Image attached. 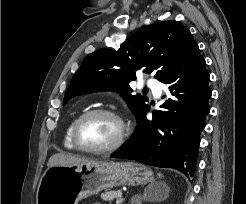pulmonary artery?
I'll return each mask as SVG.
<instances>
[{"label":"pulmonary artery","mask_w":246,"mask_h":204,"mask_svg":"<svg viewBox=\"0 0 246 204\" xmlns=\"http://www.w3.org/2000/svg\"><path fill=\"white\" fill-rule=\"evenodd\" d=\"M147 86L151 89L155 97H160L162 92V85L158 81L150 79L147 81Z\"/></svg>","instance_id":"e3ab8cb5"}]
</instances>
